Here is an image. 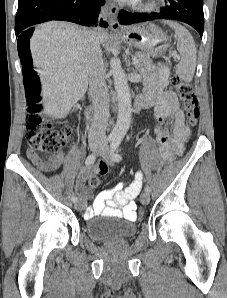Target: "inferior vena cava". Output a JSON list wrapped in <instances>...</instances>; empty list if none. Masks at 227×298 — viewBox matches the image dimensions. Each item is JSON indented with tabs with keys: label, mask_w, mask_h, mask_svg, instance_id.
<instances>
[{
	"label": "inferior vena cava",
	"mask_w": 227,
	"mask_h": 298,
	"mask_svg": "<svg viewBox=\"0 0 227 298\" xmlns=\"http://www.w3.org/2000/svg\"><path fill=\"white\" fill-rule=\"evenodd\" d=\"M85 68L89 77L90 95L93 103V120L89 129V140L103 142L109 120V93L105 81L100 42L96 34L89 33L85 44Z\"/></svg>",
	"instance_id": "inferior-vena-cava-1"
}]
</instances>
